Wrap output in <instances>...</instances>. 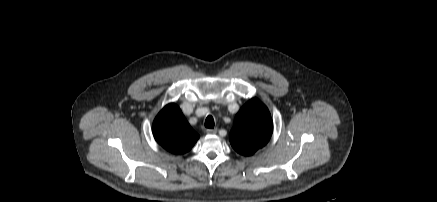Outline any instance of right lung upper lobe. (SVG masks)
<instances>
[{
    "label": "right lung upper lobe",
    "instance_id": "right-lung-upper-lobe-1",
    "mask_svg": "<svg viewBox=\"0 0 437 202\" xmlns=\"http://www.w3.org/2000/svg\"><path fill=\"white\" fill-rule=\"evenodd\" d=\"M152 132L157 143L174 154L188 152L199 138L175 103L166 105L159 112Z\"/></svg>",
    "mask_w": 437,
    "mask_h": 202
}]
</instances>
